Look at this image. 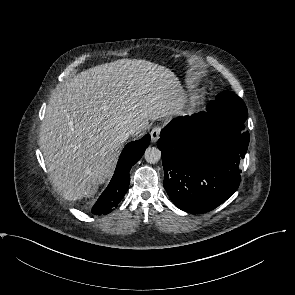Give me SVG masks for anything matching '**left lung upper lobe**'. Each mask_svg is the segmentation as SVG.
<instances>
[{
    "label": "left lung upper lobe",
    "instance_id": "left-lung-upper-lobe-1",
    "mask_svg": "<svg viewBox=\"0 0 295 295\" xmlns=\"http://www.w3.org/2000/svg\"><path fill=\"white\" fill-rule=\"evenodd\" d=\"M210 111L229 118L245 121L248 111L243 100L236 94L226 91L218 94L214 101H211Z\"/></svg>",
    "mask_w": 295,
    "mask_h": 295
}]
</instances>
